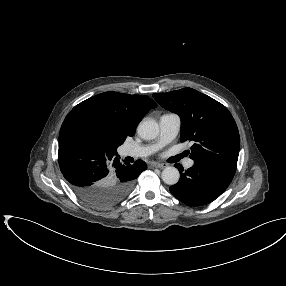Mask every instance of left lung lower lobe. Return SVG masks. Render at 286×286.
Listing matches in <instances>:
<instances>
[{
    "mask_svg": "<svg viewBox=\"0 0 286 286\" xmlns=\"http://www.w3.org/2000/svg\"><path fill=\"white\" fill-rule=\"evenodd\" d=\"M180 180L169 188L171 194L189 206H202L214 201L231 183L233 176L221 169L194 164L185 172L175 165Z\"/></svg>",
    "mask_w": 286,
    "mask_h": 286,
    "instance_id": "1",
    "label": "left lung lower lobe"
}]
</instances>
